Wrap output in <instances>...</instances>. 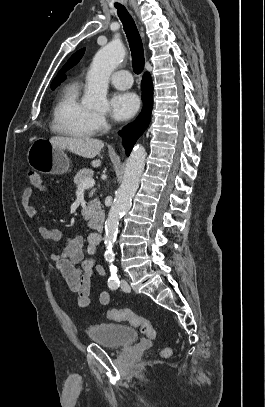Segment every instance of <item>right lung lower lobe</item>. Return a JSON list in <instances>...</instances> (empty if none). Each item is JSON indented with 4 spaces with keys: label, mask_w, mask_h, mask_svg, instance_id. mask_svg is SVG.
<instances>
[{
    "label": "right lung lower lobe",
    "mask_w": 265,
    "mask_h": 407,
    "mask_svg": "<svg viewBox=\"0 0 265 407\" xmlns=\"http://www.w3.org/2000/svg\"><path fill=\"white\" fill-rule=\"evenodd\" d=\"M143 109L137 119L123 128L119 134L123 138V145L127 156L130 154L133 145L142 133L147 129L151 120V111L153 107V86L152 78L149 73H144L141 81Z\"/></svg>",
    "instance_id": "right-lung-lower-lobe-1"
}]
</instances>
